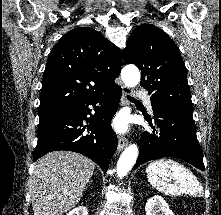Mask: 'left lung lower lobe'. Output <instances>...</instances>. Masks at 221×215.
Segmentation results:
<instances>
[{"instance_id":"obj_1","label":"left lung lower lobe","mask_w":221,"mask_h":215,"mask_svg":"<svg viewBox=\"0 0 221 215\" xmlns=\"http://www.w3.org/2000/svg\"><path fill=\"white\" fill-rule=\"evenodd\" d=\"M159 133H144L135 168L163 157L182 159L204 171L202 151L196 137L192 111L153 105Z\"/></svg>"}]
</instances>
